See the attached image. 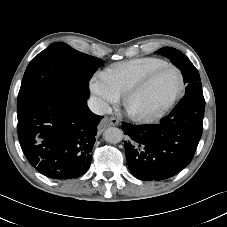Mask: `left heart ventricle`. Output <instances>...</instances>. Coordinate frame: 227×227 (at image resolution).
<instances>
[{
  "mask_svg": "<svg viewBox=\"0 0 227 227\" xmlns=\"http://www.w3.org/2000/svg\"><path fill=\"white\" fill-rule=\"evenodd\" d=\"M179 87V75L174 69H165L129 103L134 113L152 114L162 109Z\"/></svg>",
  "mask_w": 227,
  "mask_h": 227,
  "instance_id": "1",
  "label": "left heart ventricle"
}]
</instances>
